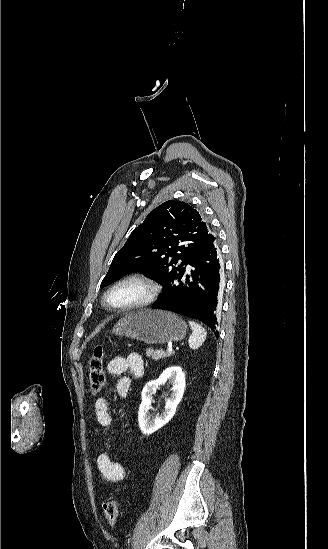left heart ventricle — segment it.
I'll return each mask as SVG.
<instances>
[{
    "instance_id": "left-heart-ventricle-1",
    "label": "left heart ventricle",
    "mask_w": 328,
    "mask_h": 549,
    "mask_svg": "<svg viewBox=\"0 0 328 549\" xmlns=\"http://www.w3.org/2000/svg\"><path fill=\"white\" fill-rule=\"evenodd\" d=\"M143 294V288L136 282H129L120 287L112 296L111 301L115 303H124L135 300Z\"/></svg>"
}]
</instances>
